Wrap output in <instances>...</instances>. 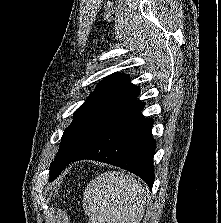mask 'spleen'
<instances>
[{"label": "spleen", "mask_w": 221, "mask_h": 223, "mask_svg": "<svg viewBox=\"0 0 221 223\" xmlns=\"http://www.w3.org/2000/svg\"><path fill=\"white\" fill-rule=\"evenodd\" d=\"M145 200V189L133 176L108 171L87 184L83 207L89 223H140Z\"/></svg>", "instance_id": "1"}]
</instances>
